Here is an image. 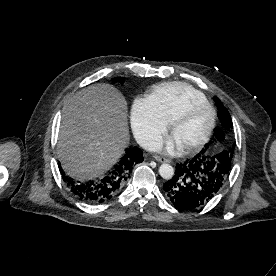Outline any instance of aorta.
I'll use <instances>...</instances> for the list:
<instances>
[{
	"label": "aorta",
	"mask_w": 276,
	"mask_h": 276,
	"mask_svg": "<svg viewBox=\"0 0 276 276\" xmlns=\"http://www.w3.org/2000/svg\"><path fill=\"white\" fill-rule=\"evenodd\" d=\"M159 174L163 179L169 180L174 175V168L170 164H162L159 167Z\"/></svg>",
	"instance_id": "aorta-1"
}]
</instances>
